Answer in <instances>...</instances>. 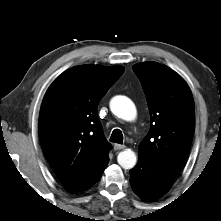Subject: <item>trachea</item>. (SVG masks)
<instances>
[{"mask_svg":"<svg viewBox=\"0 0 221 221\" xmlns=\"http://www.w3.org/2000/svg\"><path fill=\"white\" fill-rule=\"evenodd\" d=\"M110 141L113 143H118V144H122L123 143V134L122 131L119 129H115L113 130L111 137H110Z\"/></svg>","mask_w":221,"mask_h":221,"instance_id":"obj_1","label":"trachea"}]
</instances>
